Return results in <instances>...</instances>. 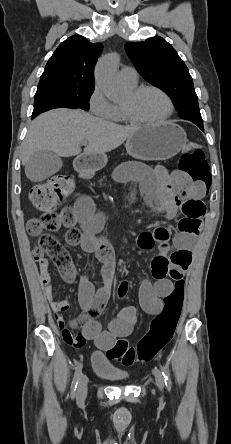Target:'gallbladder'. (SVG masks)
<instances>
[{"label": "gallbladder", "mask_w": 231, "mask_h": 444, "mask_svg": "<svg viewBox=\"0 0 231 444\" xmlns=\"http://www.w3.org/2000/svg\"><path fill=\"white\" fill-rule=\"evenodd\" d=\"M61 167L62 160L57 154L43 150L30 156L25 165V173L29 180L39 182L54 175Z\"/></svg>", "instance_id": "1"}]
</instances>
